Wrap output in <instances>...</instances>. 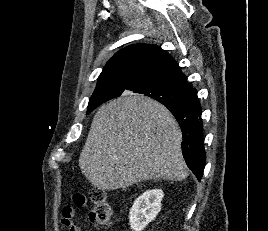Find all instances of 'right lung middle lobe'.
Wrapping results in <instances>:
<instances>
[{
	"mask_svg": "<svg viewBox=\"0 0 268 231\" xmlns=\"http://www.w3.org/2000/svg\"><path fill=\"white\" fill-rule=\"evenodd\" d=\"M124 90V88H106L102 91L101 97L98 100H102L113 95H120ZM128 90H131L135 93L144 94L156 99L159 102L169 101L175 104H189L195 97L194 94L188 91H184L169 84L157 81H143L135 84ZM100 104L102 103H89L87 114L93 111Z\"/></svg>",
	"mask_w": 268,
	"mask_h": 231,
	"instance_id": "dd1d6c3e",
	"label": "right lung middle lobe"
}]
</instances>
